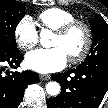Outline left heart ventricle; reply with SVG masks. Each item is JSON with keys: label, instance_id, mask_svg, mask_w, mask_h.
<instances>
[{"label": "left heart ventricle", "instance_id": "left-heart-ventricle-1", "mask_svg": "<svg viewBox=\"0 0 108 108\" xmlns=\"http://www.w3.org/2000/svg\"><path fill=\"white\" fill-rule=\"evenodd\" d=\"M85 43V34L82 29L76 28L67 36L61 37L54 34L51 46L60 47L67 57H71L81 51Z\"/></svg>", "mask_w": 108, "mask_h": 108}]
</instances>
